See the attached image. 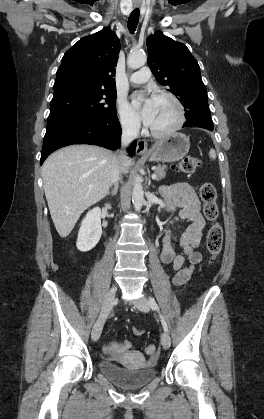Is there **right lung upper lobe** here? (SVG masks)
Masks as SVG:
<instances>
[{"label": "right lung upper lobe", "instance_id": "1", "mask_svg": "<svg viewBox=\"0 0 264 419\" xmlns=\"http://www.w3.org/2000/svg\"><path fill=\"white\" fill-rule=\"evenodd\" d=\"M119 51V39L107 27L80 39L64 54L53 89L83 85L116 91L114 76Z\"/></svg>", "mask_w": 264, "mask_h": 419}]
</instances>
